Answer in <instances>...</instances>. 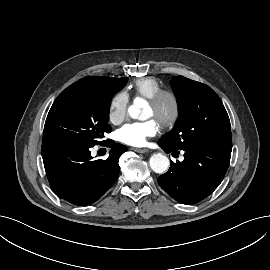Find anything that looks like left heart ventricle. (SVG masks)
I'll list each match as a JSON object with an SVG mask.
<instances>
[{"mask_svg": "<svg viewBox=\"0 0 270 270\" xmlns=\"http://www.w3.org/2000/svg\"><path fill=\"white\" fill-rule=\"evenodd\" d=\"M171 110V104L169 101H165L161 110H160V114L162 115H167L169 114ZM155 117L156 118V111L153 109V107L148 103L147 106V117Z\"/></svg>", "mask_w": 270, "mask_h": 270, "instance_id": "obj_1", "label": "left heart ventricle"}]
</instances>
